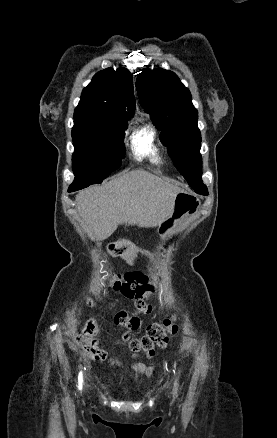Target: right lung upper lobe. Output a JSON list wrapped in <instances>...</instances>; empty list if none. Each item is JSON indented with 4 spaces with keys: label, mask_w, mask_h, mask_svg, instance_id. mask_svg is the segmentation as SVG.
Returning a JSON list of instances; mask_svg holds the SVG:
<instances>
[{
    "label": "right lung upper lobe",
    "mask_w": 277,
    "mask_h": 438,
    "mask_svg": "<svg viewBox=\"0 0 277 438\" xmlns=\"http://www.w3.org/2000/svg\"><path fill=\"white\" fill-rule=\"evenodd\" d=\"M135 97L129 71L107 68L98 72L83 89L74 122L110 125L133 117Z\"/></svg>",
    "instance_id": "right-lung-upper-lobe-1"
}]
</instances>
